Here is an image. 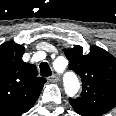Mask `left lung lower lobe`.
<instances>
[{
  "mask_svg": "<svg viewBox=\"0 0 116 116\" xmlns=\"http://www.w3.org/2000/svg\"><path fill=\"white\" fill-rule=\"evenodd\" d=\"M82 116H100L102 114L98 113V112H87V113H78Z\"/></svg>",
  "mask_w": 116,
  "mask_h": 116,
  "instance_id": "0a47b994",
  "label": "left lung lower lobe"
}]
</instances>
